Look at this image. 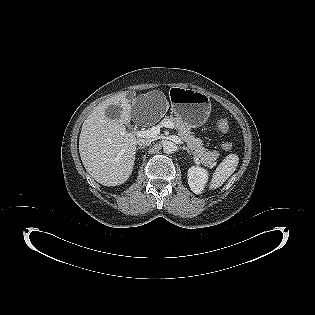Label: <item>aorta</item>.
<instances>
[{
  "label": "aorta",
  "mask_w": 315,
  "mask_h": 315,
  "mask_svg": "<svg viewBox=\"0 0 315 315\" xmlns=\"http://www.w3.org/2000/svg\"><path fill=\"white\" fill-rule=\"evenodd\" d=\"M163 150L165 153H174L176 151V144L172 141H165Z\"/></svg>",
  "instance_id": "obj_1"
}]
</instances>
